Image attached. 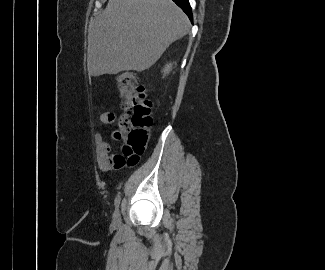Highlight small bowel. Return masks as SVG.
I'll use <instances>...</instances> for the list:
<instances>
[{
	"label": "small bowel",
	"instance_id": "small-bowel-1",
	"mask_svg": "<svg viewBox=\"0 0 325 270\" xmlns=\"http://www.w3.org/2000/svg\"><path fill=\"white\" fill-rule=\"evenodd\" d=\"M114 121L115 114L113 112H105L101 115V122L104 124H112ZM94 140L96 143L97 164L101 171L117 170L125 165L130 166L124 156L114 153L112 144L105 141L99 131L94 133Z\"/></svg>",
	"mask_w": 325,
	"mask_h": 270
}]
</instances>
